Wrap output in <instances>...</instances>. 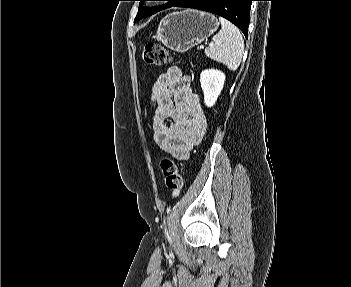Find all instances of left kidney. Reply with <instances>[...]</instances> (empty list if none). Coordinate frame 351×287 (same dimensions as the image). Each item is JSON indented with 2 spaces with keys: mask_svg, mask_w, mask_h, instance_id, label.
<instances>
[{
  "mask_svg": "<svg viewBox=\"0 0 351 287\" xmlns=\"http://www.w3.org/2000/svg\"><path fill=\"white\" fill-rule=\"evenodd\" d=\"M225 82V74L217 69H206L200 74L201 88L204 93V103L212 107L220 95Z\"/></svg>",
  "mask_w": 351,
  "mask_h": 287,
  "instance_id": "obj_1",
  "label": "left kidney"
}]
</instances>
